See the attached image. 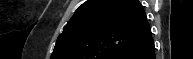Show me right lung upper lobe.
Returning a JSON list of instances; mask_svg holds the SVG:
<instances>
[{
    "mask_svg": "<svg viewBox=\"0 0 193 59\" xmlns=\"http://www.w3.org/2000/svg\"><path fill=\"white\" fill-rule=\"evenodd\" d=\"M151 38L138 0H88L64 26L51 59H125Z\"/></svg>",
    "mask_w": 193,
    "mask_h": 59,
    "instance_id": "right-lung-upper-lobe-1",
    "label": "right lung upper lobe"
}]
</instances>
